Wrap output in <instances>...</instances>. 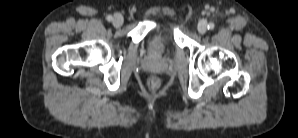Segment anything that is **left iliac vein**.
I'll list each match as a JSON object with an SVG mask.
<instances>
[{
	"instance_id": "1",
	"label": "left iliac vein",
	"mask_w": 298,
	"mask_h": 138,
	"mask_svg": "<svg viewBox=\"0 0 298 138\" xmlns=\"http://www.w3.org/2000/svg\"><path fill=\"white\" fill-rule=\"evenodd\" d=\"M197 29L199 33L204 34L207 31V21L204 19L200 20Z\"/></svg>"
}]
</instances>
